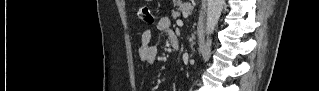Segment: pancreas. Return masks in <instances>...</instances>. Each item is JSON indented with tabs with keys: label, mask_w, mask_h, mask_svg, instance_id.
<instances>
[{
	"label": "pancreas",
	"mask_w": 319,
	"mask_h": 91,
	"mask_svg": "<svg viewBox=\"0 0 319 91\" xmlns=\"http://www.w3.org/2000/svg\"><path fill=\"white\" fill-rule=\"evenodd\" d=\"M178 11H174L172 13V16L174 19L178 18L180 16L179 11L183 12V13H190L192 11V7L188 4H180L178 5Z\"/></svg>",
	"instance_id": "cf45deb5"
}]
</instances>
